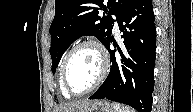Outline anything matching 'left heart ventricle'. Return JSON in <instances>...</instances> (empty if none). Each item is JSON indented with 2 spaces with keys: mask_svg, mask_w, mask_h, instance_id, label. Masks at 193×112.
<instances>
[{
  "mask_svg": "<svg viewBox=\"0 0 193 112\" xmlns=\"http://www.w3.org/2000/svg\"><path fill=\"white\" fill-rule=\"evenodd\" d=\"M100 70V59L95 49L83 47L71 57L67 67V80L71 89L82 92L96 80Z\"/></svg>",
  "mask_w": 193,
  "mask_h": 112,
  "instance_id": "left-heart-ventricle-1",
  "label": "left heart ventricle"
}]
</instances>
